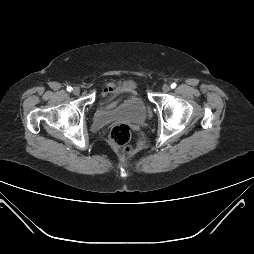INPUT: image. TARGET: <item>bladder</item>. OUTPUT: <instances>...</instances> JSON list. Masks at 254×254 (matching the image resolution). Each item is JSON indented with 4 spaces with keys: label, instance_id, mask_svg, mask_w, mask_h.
<instances>
[{
    "label": "bladder",
    "instance_id": "obj_1",
    "mask_svg": "<svg viewBox=\"0 0 254 254\" xmlns=\"http://www.w3.org/2000/svg\"><path fill=\"white\" fill-rule=\"evenodd\" d=\"M147 107L140 97H133L126 100L118 107L112 110L99 109L96 111L93 123L96 126H103L117 119H126L133 122H139L146 118Z\"/></svg>",
    "mask_w": 254,
    "mask_h": 254
}]
</instances>
